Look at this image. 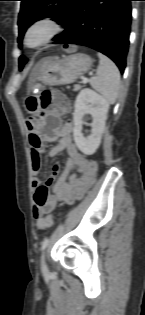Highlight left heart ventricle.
<instances>
[{"instance_id": "obj_1", "label": "left heart ventricle", "mask_w": 145, "mask_h": 315, "mask_svg": "<svg viewBox=\"0 0 145 315\" xmlns=\"http://www.w3.org/2000/svg\"><path fill=\"white\" fill-rule=\"evenodd\" d=\"M41 37V31L34 32L30 37V42L35 43L37 42Z\"/></svg>"}]
</instances>
